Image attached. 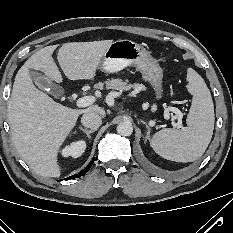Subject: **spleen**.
<instances>
[{"instance_id":"obj_1","label":"spleen","mask_w":233,"mask_h":233,"mask_svg":"<svg viewBox=\"0 0 233 233\" xmlns=\"http://www.w3.org/2000/svg\"><path fill=\"white\" fill-rule=\"evenodd\" d=\"M188 91L192 105L187 127L181 130L166 128L153 135L151 146L161 157L176 162H193L207 149L214 130V105L203 78L192 68L187 71Z\"/></svg>"}]
</instances>
